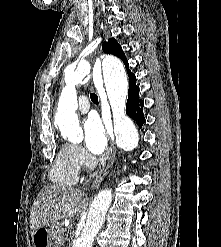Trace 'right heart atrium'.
Segmentation results:
<instances>
[{"mask_svg":"<svg viewBox=\"0 0 221 247\" xmlns=\"http://www.w3.org/2000/svg\"><path fill=\"white\" fill-rule=\"evenodd\" d=\"M71 151L73 156V161L77 169L85 170L89 166V159L83 149L78 145H71Z\"/></svg>","mask_w":221,"mask_h":247,"instance_id":"d8ad5b80","label":"right heart atrium"}]
</instances>
